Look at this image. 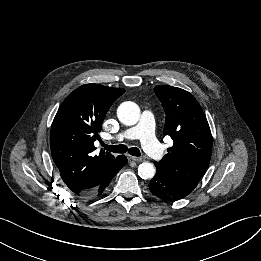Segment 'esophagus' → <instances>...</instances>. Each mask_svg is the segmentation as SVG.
<instances>
[{"label":"esophagus","instance_id":"obj_1","mask_svg":"<svg viewBox=\"0 0 261 261\" xmlns=\"http://www.w3.org/2000/svg\"><path fill=\"white\" fill-rule=\"evenodd\" d=\"M130 159L135 161V162H142V161H144V158H142V157L130 156Z\"/></svg>","mask_w":261,"mask_h":261}]
</instances>
